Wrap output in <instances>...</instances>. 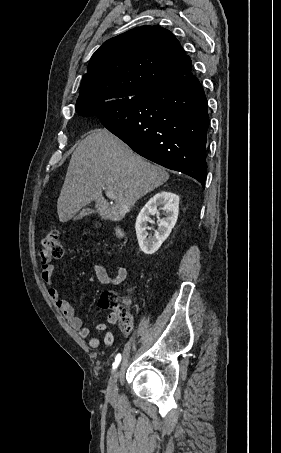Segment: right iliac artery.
I'll return each instance as SVG.
<instances>
[{"instance_id": "1", "label": "right iliac artery", "mask_w": 281, "mask_h": 453, "mask_svg": "<svg viewBox=\"0 0 281 453\" xmlns=\"http://www.w3.org/2000/svg\"><path fill=\"white\" fill-rule=\"evenodd\" d=\"M121 361V354H118L115 357V362L113 363V369H116Z\"/></svg>"}]
</instances>
